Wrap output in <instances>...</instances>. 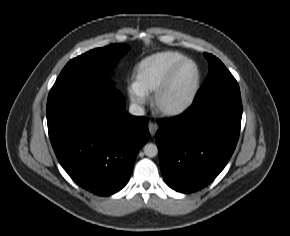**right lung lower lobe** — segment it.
<instances>
[{"instance_id":"98d812e1","label":"right lung lower lobe","mask_w":290,"mask_h":236,"mask_svg":"<svg viewBox=\"0 0 290 236\" xmlns=\"http://www.w3.org/2000/svg\"><path fill=\"white\" fill-rule=\"evenodd\" d=\"M46 115L54 152L79 186L108 196L126 185L150 133L147 118L126 112L119 90L50 92Z\"/></svg>"}]
</instances>
